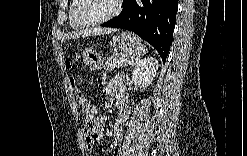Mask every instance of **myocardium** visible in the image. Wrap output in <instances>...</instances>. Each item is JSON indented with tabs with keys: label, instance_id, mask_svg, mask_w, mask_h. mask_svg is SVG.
Wrapping results in <instances>:
<instances>
[{
	"label": "myocardium",
	"instance_id": "f54148a6",
	"mask_svg": "<svg viewBox=\"0 0 247 156\" xmlns=\"http://www.w3.org/2000/svg\"><path fill=\"white\" fill-rule=\"evenodd\" d=\"M83 1L84 0H78L76 2L74 12H73V22L75 23V25H77L80 28H91V27L101 25V24L111 20L112 18H114L120 12L121 2L119 0H113V9L109 14H107L106 16L99 18L95 21L83 22L78 17V12L81 8Z\"/></svg>",
	"mask_w": 247,
	"mask_h": 156
}]
</instances>
